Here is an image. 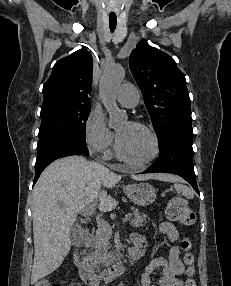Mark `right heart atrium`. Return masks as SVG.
<instances>
[{"label":"right heart atrium","mask_w":231,"mask_h":286,"mask_svg":"<svg viewBox=\"0 0 231 286\" xmlns=\"http://www.w3.org/2000/svg\"><path fill=\"white\" fill-rule=\"evenodd\" d=\"M84 137L87 148L96 155L107 153L114 141L103 114L95 110L90 112L86 120Z\"/></svg>","instance_id":"d8ad5b80"}]
</instances>
